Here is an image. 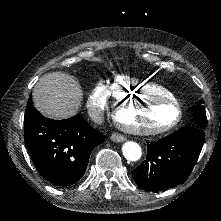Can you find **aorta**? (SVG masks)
Returning <instances> with one entry per match:
<instances>
[{
  "label": "aorta",
  "mask_w": 221,
  "mask_h": 221,
  "mask_svg": "<svg viewBox=\"0 0 221 221\" xmlns=\"http://www.w3.org/2000/svg\"><path fill=\"white\" fill-rule=\"evenodd\" d=\"M122 152L128 161H137L142 155L141 147L133 141H128L123 144Z\"/></svg>",
  "instance_id": "1"
}]
</instances>
